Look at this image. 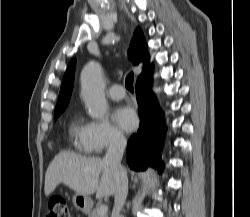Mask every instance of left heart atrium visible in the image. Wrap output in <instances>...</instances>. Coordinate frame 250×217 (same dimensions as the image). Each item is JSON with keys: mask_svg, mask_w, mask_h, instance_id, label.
<instances>
[{"mask_svg": "<svg viewBox=\"0 0 250 217\" xmlns=\"http://www.w3.org/2000/svg\"><path fill=\"white\" fill-rule=\"evenodd\" d=\"M115 123L125 131L133 130L137 125V117L134 110L128 106H120L113 112Z\"/></svg>", "mask_w": 250, "mask_h": 217, "instance_id": "1", "label": "left heart atrium"}]
</instances>
